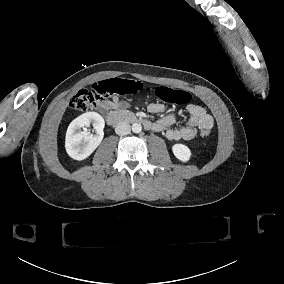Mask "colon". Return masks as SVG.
<instances>
[{
    "mask_svg": "<svg viewBox=\"0 0 284 284\" xmlns=\"http://www.w3.org/2000/svg\"><path fill=\"white\" fill-rule=\"evenodd\" d=\"M144 83L135 79H117L98 81L91 85L82 87L75 93L70 100V107L74 110L89 111L97 108L100 104L106 102L112 95H133L143 89ZM156 94L161 99H170L186 101L188 94L184 91L165 90L163 87L156 89ZM203 138L210 136L208 129L201 131Z\"/></svg>",
    "mask_w": 284,
    "mask_h": 284,
    "instance_id": "colon-1",
    "label": "colon"
}]
</instances>
